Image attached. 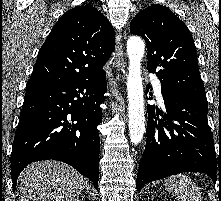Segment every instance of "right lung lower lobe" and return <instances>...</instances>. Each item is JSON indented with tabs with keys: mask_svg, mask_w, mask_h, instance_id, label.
Segmentation results:
<instances>
[{
	"mask_svg": "<svg viewBox=\"0 0 221 201\" xmlns=\"http://www.w3.org/2000/svg\"><path fill=\"white\" fill-rule=\"evenodd\" d=\"M106 89V73L54 85L27 84L11 153L13 191L28 164L47 159L71 165L97 189V126Z\"/></svg>",
	"mask_w": 221,
	"mask_h": 201,
	"instance_id": "98d812e1",
	"label": "right lung lower lobe"
}]
</instances>
